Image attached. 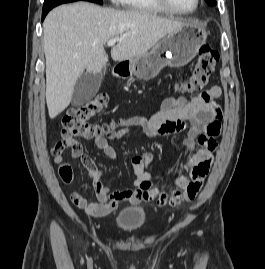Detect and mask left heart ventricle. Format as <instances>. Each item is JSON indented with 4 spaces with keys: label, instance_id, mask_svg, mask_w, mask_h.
Masks as SVG:
<instances>
[{
    "label": "left heart ventricle",
    "instance_id": "b2bd125f",
    "mask_svg": "<svg viewBox=\"0 0 265 269\" xmlns=\"http://www.w3.org/2000/svg\"><path fill=\"white\" fill-rule=\"evenodd\" d=\"M168 2L180 10H191L195 5V0H168Z\"/></svg>",
    "mask_w": 265,
    "mask_h": 269
}]
</instances>
